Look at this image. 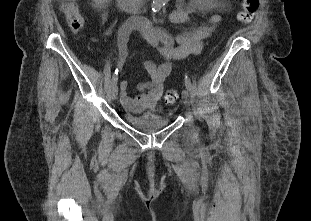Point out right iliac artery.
<instances>
[{
    "instance_id": "obj_1",
    "label": "right iliac artery",
    "mask_w": 311,
    "mask_h": 221,
    "mask_svg": "<svg viewBox=\"0 0 311 221\" xmlns=\"http://www.w3.org/2000/svg\"><path fill=\"white\" fill-rule=\"evenodd\" d=\"M118 73H119V69L116 68L114 74H113V78H112V84H116L117 80H118Z\"/></svg>"
}]
</instances>
